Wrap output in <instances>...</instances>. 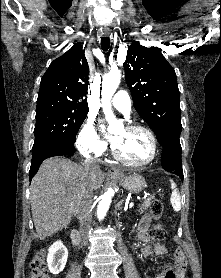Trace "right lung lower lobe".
<instances>
[{
	"mask_svg": "<svg viewBox=\"0 0 221 278\" xmlns=\"http://www.w3.org/2000/svg\"><path fill=\"white\" fill-rule=\"evenodd\" d=\"M73 153L74 143L63 139L48 141L32 149V161L29 171L30 181L32 177L37 173L40 164L46 158L53 156L72 155Z\"/></svg>",
	"mask_w": 221,
	"mask_h": 278,
	"instance_id": "98d812e1",
	"label": "right lung lower lobe"
}]
</instances>
